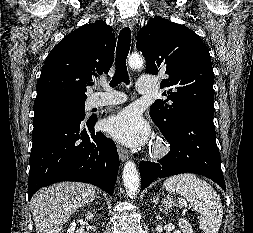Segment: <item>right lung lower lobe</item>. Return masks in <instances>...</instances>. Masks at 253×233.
<instances>
[{"instance_id": "obj_1", "label": "right lung lower lobe", "mask_w": 253, "mask_h": 233, "mask_svg": "<svg viewBox=\"0 0 253 233\" xmlns=\"http://www.w3.org/2000/svg\"><path fill=\"white\" fill-rule=\"evenodd\" d=\"M97 116L51 111L34 116L28 198L60 181L91 183L113 194L119 169L115 143L94 131Z\"/></svg>"}]
</instances>
